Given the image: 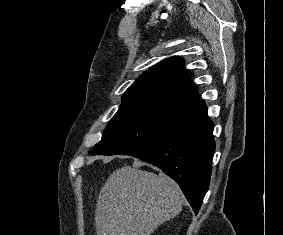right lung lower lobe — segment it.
<instances>
[{"mask_svg":"<svg viewBox=\"0 0 283 235\" xmlns=\"http://www.w3.org/2000/svg\"><path fill=\"white\" fill-rule=\"evenodd\" d=\"M213 124L197 99L166 133L127 152L161 168L180 186L195 214L208 190L215 151Z\"/></svg>","mask_w":283,"mask_h":235,"instance_id":"obj_1","label":"right lung lower lobe"}]
</instances>
